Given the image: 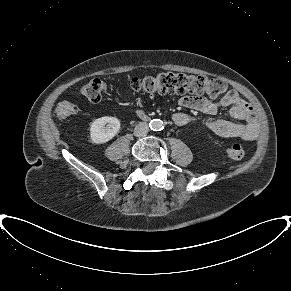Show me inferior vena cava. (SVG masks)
I'll use <instances>...</instances> for the list:
<instances>
[{
	"label": "inferior vena cava",
	"mask_w": 291,
	"mask_h": 291,
	"mask_svg": "<svg viewBox=\"0 0 291 291\" xmlns=\"http://www.w3.org/2000/svg\"><path fill=\"white\" fill-rule=\"evenodd\" d=\"M149 131V126L146 122H141L138 125H136L134 129V135L136 137H144L147 135Z\"/></svg>",
	"instance_id": "obj_1"
}]
</instances>
